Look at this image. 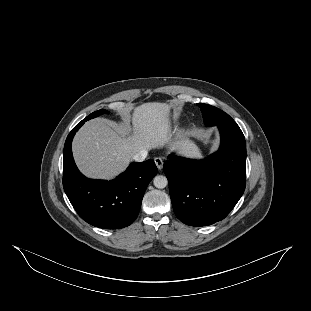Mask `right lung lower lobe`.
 Masks as SVG:
<instances>
[{
	"mask_svg": "<svg viewBox=\"0 0 311 311\" xmlns=\"http://www.w3.org/2000/svg\"><path fill=\"white\" fill-rule=\"evenodd\" d=\"M85 123L82 120L67 136L64 145L63 187L79 216L89 224L104 229L124 228L138 216L142 198L157 173L153 160L131 163L111 181L88 179L75 165L72 140Z\"/></svg>",
	"mask_w": 311,
	"mask_h": 311,
	"instance_id": "right-lung-lower-lobe-1",
	"label": "right lung lower lobe"
}]
</instances>
